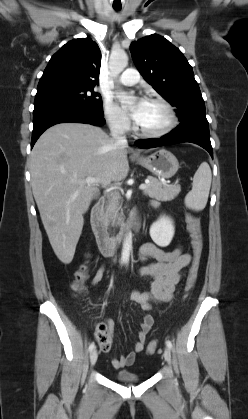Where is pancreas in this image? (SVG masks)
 I'll return each instance as SVG.
<instances>
[{"label":"pancreas","instance_id":"1","mask_svg":"<svg viewBox=\"0 0 248 419\" xmlns=\"http://www.w3.org/2000/svg\"><path fill=\"white\" fill-rule=\"evenodd\" d=\"M148 180L150 182L147 184V188L144 189V194L159 201H171L177 197L181 191V186L179 184H164L152 176H149ZM120 199L121 197L119 195L112 196L109 199L104 214L106 222L112 221L113 224L116 220H118V224L122 222L123 214L122 212L119 214V210L121 209Z\"/></svg>","mask_w":248,"mask_h":419}]
</instances>
